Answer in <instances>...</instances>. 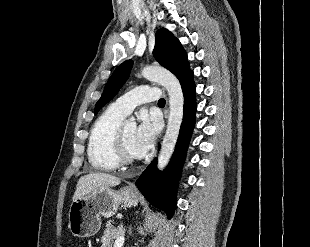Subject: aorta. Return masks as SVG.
I'll use <instances>...</instances> for the list:
<instances>
[{"label": "aorta", "instance_id": "762f6f07", "mask_svg": "<svg viewBox=\"0 0 310 247\" xmlns=\"http://www.w3.org/2000/svg\"><path fill=\"white\" fill-rule=\"evenodd\" d=\"M142 76L150 81H155L163 85L169 96V116L168 123L161 150L158 156V169L163 170L168 164L178 139L184 108V96L178 79L166 69L160 67H144ZM129 122L135 125V118L131 117Z\"/></svg>", "mask_w": 310, "mask_h": 247}]
</instances>
